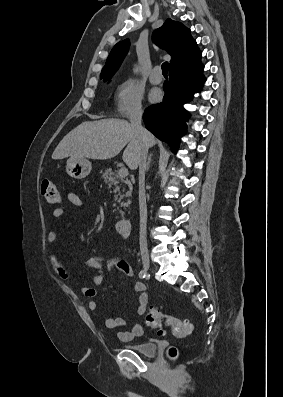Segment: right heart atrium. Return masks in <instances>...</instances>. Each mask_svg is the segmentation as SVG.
<instances>
[{"instance_id":"obj_1","label":"right heart atrium","mask_w":283,"mask_h":397,"mask_svg":"<svg viewBox=\"0 0 283 397\" xmlns=\"http://www.w3.org/2000/svg\"><path fill=\"white\" fill-rule=\"evenodd\" d=\"M143 110V94L131 79L121 81L114 95V112L119 117L129 118L139 115Z\"/></svg>"}]
</instances>
